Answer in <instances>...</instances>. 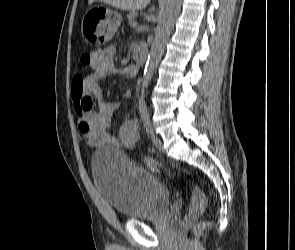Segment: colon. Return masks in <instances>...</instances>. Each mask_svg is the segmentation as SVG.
Segmentation results:
<instances>
[{
	"label": "colon",
	"instance_id": "1",
	"mask_svg": "<svg viewBox=\"0 0 295 250\" xmlns=\"http://www.w3.org/2000/svg\"><path fill=\"white\" fill-rule=\"evenodd\" d=\"M92 60V53L86 52L82 54L81 56V62L84 65H89ZM148 166L155 172L162 174V175H169L172 177L180 178L183 177L177 173L170 172L166 169H164L161 165H159L157 162L149 161ZM189 187H190V205L188 212L185 216L186 221L193 220L197 218L199 215H201L205 209V195L203 191L193 182L188 181Z\"/></svg>",
	"mask_w": 295,
	"mask_h": 250
}]
</instances>
